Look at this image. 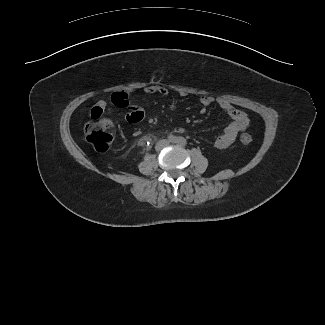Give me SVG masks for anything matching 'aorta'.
<instances>
[{"mask_svg":"<svg viewBox=\"0 0 325 325\" xmlns=\"http://www.w3.org/2000/svg\"><path fill=\"white\" fill-rule=\"evenodd\" d=\"M185 142H186V140H185L184 138H180V140H179V143H180V144L183 145V144H185Z\"/></svg>","mask_w":325,"mask_h":325,"instance_id":"762f6f07","label":"aorta"}]
</instances>
